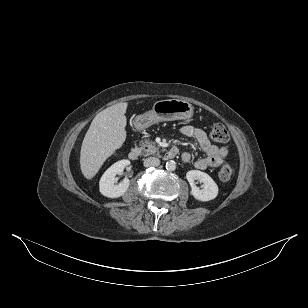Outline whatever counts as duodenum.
I'll return each instance as SVG.
<instances>
[{"label":"duodenum","mask_w":308,"mask_h":308,"mask_svg":"<svg viewBox=\"0 0 308 308\" xmlns=\"http://www.w3.org/2000/svg\"><path fill=\"white\" fill-rule=\"evenodd\" d=\"M178 154V149L176 147H172L168 150V152L166 153V157L168 159H172L174 158L176 155ZM140 156V150L137 148H133L129 154L128 157L130 160L135 161L139 158Z\"/></svg>","instance_id":"obj_1"}]
</instances>
